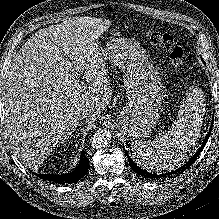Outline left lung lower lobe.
Listing matches in <instances>:
<instances>
[{
  "instance_id": "left-lung-lower-lobe-1",
  "label": "left lung lower lobe",
  "mask_w": 219,
  "mask_h": 219,
  "mask_svg": "<svg viewBox=\"0 0 219 219\" xmlns=\"http://www.w3.org/2000/svg\"><path fill=\"white\" fill-rule=\"evenodd\" d=\"M213 121H214V116H213V119H212V123H211V127L209 129V132L208 134L206 135L203 143H202V146L199 148V150L194 154L193 157H191V159L186 163L184 164L182 167L176 169L175 171H172V172H168V173H165V174H160V175H157V174H152V173H149V172H146L144 171L143 169L139 168L133 161L132 159L129 157V155H127L128 157V161H129V165L130 167L132 168V170L141 175L142 177L144 178H149V179H158V178H162V177H169L170 175L172 174H176V173H181L183 171H185L186 169H188L194 162L195 160L197 159V157L199 156L200 152L203 150L204 146L206 145L207 141H208V138L211 134V131H212V127H213Z\"/></svg>"
}]
</instances>
